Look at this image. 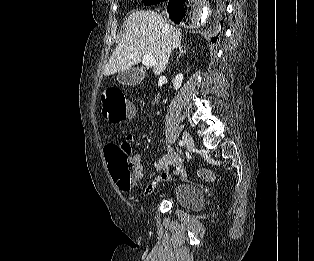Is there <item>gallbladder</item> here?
Segmentation results:
<instances>
[{"instance_id":"bac80fb5","label":"gallbladder","mask_w":314,"mask_h":261,"mask_svg":"<svg viewBox=\"0 0 314 261\" xmlns=\"http://www.w3.org/2000/svg\"><path fill=\"white\" fill-rule=\"evenodd\" d=\"M144 69L131 68L123 72H119L116 79L119 83L128 86H135L141 83L145 76Z\"/></svg>"}]
</instances>
